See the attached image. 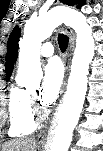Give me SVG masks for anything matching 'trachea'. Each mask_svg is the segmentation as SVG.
<instances>
[{
    "label": "trachea",
    "instance_id": "3493384b",
    "mask_svg": "<svg viewBox=\"0 0 103 151\" xmlns=\"http://www.w3.org/2000/svg\"><path fill=\"white\" fill-rule=\"evenodd\" d=\"M69 38L66 35L59 34L58 36V44L60 47V50L64 52L68 46Z\"/></svg>",
    "mask_w": 103,
    "mask_h": 151
}]
</instances>
